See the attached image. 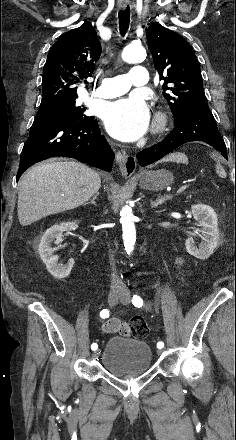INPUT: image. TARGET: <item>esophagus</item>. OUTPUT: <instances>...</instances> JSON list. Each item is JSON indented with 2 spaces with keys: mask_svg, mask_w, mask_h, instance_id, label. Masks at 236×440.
I'll return each mask as SVG.
<instances>
[{
  "mask_svg": "<svg viewBox=\"0 0 236 440\" xmlns=\"http://www.w3.org/2000/svg\"><path fill=\"white\" fill-rule=\"evenodd\" d=\"M126 5L127 3L124 0L119 2V7L121 9H124ZM116 160L120 167L121 173L124 177L129 178L133 176L136 170L135 157L127 155V153L124 150H120L117 152Z\"/></svg>",
  "mask_w": 236,
  "mask_h": 440,
  "instance_id": "1",
  "label": "esophagus"
}]
</instances>
